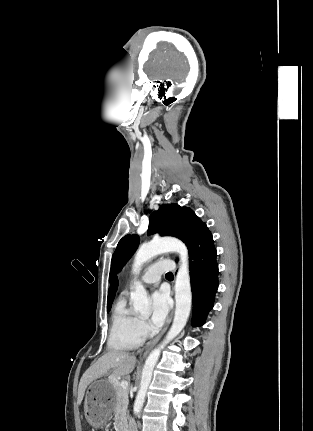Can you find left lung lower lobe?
<instances>
[{"label":"left lung lower lobe","mask_w":313,"mask_h":431,"mask_svg":"<svg viewBox=\"0 0 313 431\" xmlns=\"http://www.w3.org/2000/svg\"><path fill=\"white\" fill-rule=\"evenodd\" d=\"M217 252L207 227L198 236L189 252L193 299L192 325L202 326L214 304L218 288Z\"/></svg>","instance_id":"1"}]
</instances>
